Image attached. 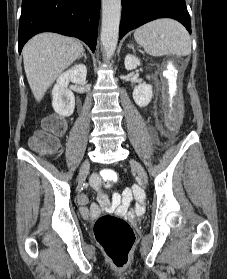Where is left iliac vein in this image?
<instances>
[{
	"instance_id": "obj_1",
	"label": "left iliac vein",
	"mask_w": 227,
	"mask_h": 279,
	"mask_svg": "<svg viewBox=\"0 0 227 279\" xmlns=\"http://www.w3.org/2000/svg\"><path fill=\"white\" fill-rule=\"evenodd\" d=\"M130 164H131L132 168L137 172V174L139 175L142 182L144 184H147L148 183V176H147V173L144 170V168L141 166V164L138 163L135 160H130Z\"/></svg>"
}]
</instances>
